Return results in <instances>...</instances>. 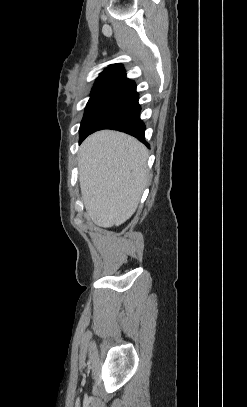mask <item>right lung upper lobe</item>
Listing matches in <instances>:
<instances>
[{
	"label": "right lung upper lobe",
	"instance_id": "cb5924a9",
	"mask_svg": "<svg viewBox=\"0 0 247 407\" xmlns=\"http://www.w3.org/2000/svg\"><path fill=\"white\" fill-rule=\"evenodd\" d=\"M116 89L136 90L135 82L126 77L121 64H112L100 73L92 88L91 96Z\"/></svg>",
	"mask_w": 247,
	"mask_h": 407
}]
</instances>
